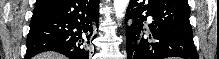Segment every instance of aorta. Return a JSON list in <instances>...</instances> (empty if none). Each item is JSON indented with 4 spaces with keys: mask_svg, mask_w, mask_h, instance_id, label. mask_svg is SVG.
I'll use <instances>...</instances> for the list:
<instances>
[{
    "mask_svg": "<svg viewBox=\"0 0 219 59\" xmlns=\"http://www.w3.org/2000/svg\"><path fill=\"white\" fill-rule=\"evenodd\" d=\"M129 0H114L113 7L115 10V15L117 19H121L128 7Z\"/></svg>",
    "mask_w": 219,
    "mask_h": 59,
    "instance_id": "obj_1",
    "label": "aorta"
}]
</instances>
